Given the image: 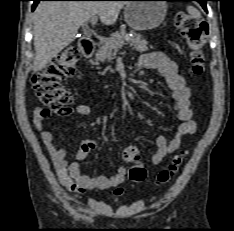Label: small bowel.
<instances>
[{
	"label": "small bowel",
	"mask_w": 234,
	"mask_h": 231,
	"mask_svg": "<svg viewBox=\"0 0 234 231\" xmlns=\"http://www.w3.org/2000/svg\"><path fill=\"white\" fill-rule=\"evenodd\" d=\"M139 65L142 68L155 69L164 77L173 93L175 100L173 109L176 118L180 122L172 139L167 140L164 136L156 138L157 150L152 156L151 161L153 164H159L166 156L174 154L180 149L182 138L185 135L194 134L197 131V123L190 108L191 91L184 78L178 73L177 64L164 53L151 52L144 54L140 58ZM51 113L48 108H36L33 124L51 157L60 184L68 192L75 195H82L93 189L106 190L114 188L113 197L117 198L121 196L124 192L122 184L128 173L127 168L120 166L110 176H90L84 174L79 162L86 159L89 153L98 147V141L96 139L82 141L74 155V160L69 162L65 149L55 143L52 131L46 127V121ZM57 113L60 116L74 114L85 117L90 115L91 108L86 104H77L72 109H62Z\"/></svg>",
	"instance_id": "c3829d8e"
}]
</instances>
